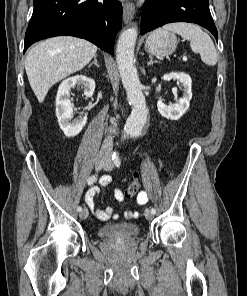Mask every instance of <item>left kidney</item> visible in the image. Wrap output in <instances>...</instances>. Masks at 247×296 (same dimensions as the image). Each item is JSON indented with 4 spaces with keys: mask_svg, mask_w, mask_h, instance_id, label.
Listing matches in <instances>:
<instances>
[{
    "mask_svg": "<svg viewBox=\"0 0 247 296\" xmlns=\"http://www.w3.org/2000/svg\"><path fill=\"white\" fill-rule=\"evenodd\" d=\"M163 79L165 81L177 79L183 85V97L179 99L177 104L167 106L162 100L157 102L158 111L163 117L171 120H178L189 108L190 100L192 98V80L190 76L185 73H169L164 75Z\"/></svg>",
    "mask_w": 247,
    "mask_h": 296,
    "instance_id": "left-kidney-1",
    "label": "left kidney"
}]
</instances>
